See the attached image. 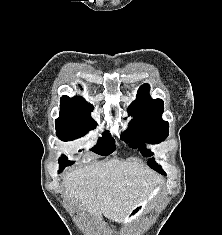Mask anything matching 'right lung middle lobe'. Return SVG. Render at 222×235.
<instances>
[{
  "label": "right lung middle lobe",
  "mask_w": 222,
  "mask_h": 235,
  "mask_svg": "<svg viewBox=\"0 0 222 235\" xmlns=\"http://www.w3.org/2000/svg\"><path fill=\"white\" fill-rule=\"evenodd\" d=\"M55 124L57 137L62 141H72L84 136L89 130L94 129L96 122L91 118V116L59 117L56 119ZM114 150V139L108 132L103 133V137L99 139L98 144L91 149L94 153L102 156H107ZM73 163V161H69L65 156L60 157L59 172H62L66 166Z\"/></svg>",
  "instance_id": "obj_1"
}]
</instances>
